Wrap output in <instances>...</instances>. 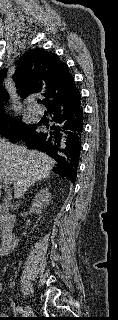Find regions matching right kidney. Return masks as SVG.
Segmentation results:
<instances>
[{
    "label": "right kidney",
    "mask_w": 118,
    "mask_h": 320,
    "mask_svg": "<svg viewBox=\"0 0 118 320\" xmlns=\"http://www.w3.org/2000/svg\"><path fill=\"white\" fill-rule=\"evenodd\" d=\"M51 193L48 188L40 190L31 205L30 212L41 214L42 210L49 205Z\"/></svg>",
    "instance_id": "right-kidney-1"
}]
</instances>
